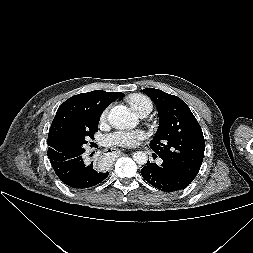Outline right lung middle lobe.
Returning a JSON list of instances; mask_svg holds the SVG:
<instances>
[{"label": "right lung middle lobe", "mask_w": 253, "mask_h": 253, "mask_svg": "<svg viewBox=\"0 0 253 253\" xmlns=\"http://www.w3.org/2000/svg\"><path fill=\"white\" fill-rule=\"evenodd\" d=\"M98 122L99 118L95 120L94 126L90 130L62 138L59 141L56 150L63 154L82 151L84 149V145L87 144V140L89 138L94 139V133L98 131Z\"/></svg>", "instance_id": "obj_1"}]
</instances>
